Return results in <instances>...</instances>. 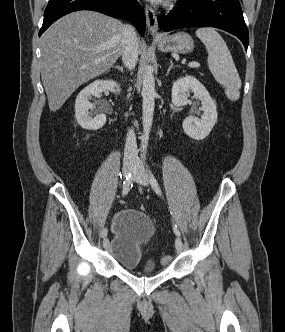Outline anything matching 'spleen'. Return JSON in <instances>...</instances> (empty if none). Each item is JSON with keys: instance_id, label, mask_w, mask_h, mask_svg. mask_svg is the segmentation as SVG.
I'll use <instances>...</instances> for the list:
<instances>
[{"instance_id": "1", "label": "spleen", "mask_w": 285, "mask_h": 332, "mask_svg": "<svg viewBox=\"0 0 285 332\" xmlns=\"http://www.w3.org/2000/svg\"><path fill=\"white\" fill-rule=\"evenodd\" d=\"M196 36L206 47L208 67L215 80L223 86L229 100H238L241 79L225 41L215 29L210 27L197 29Z\"/></svg>"}]
</instances>
